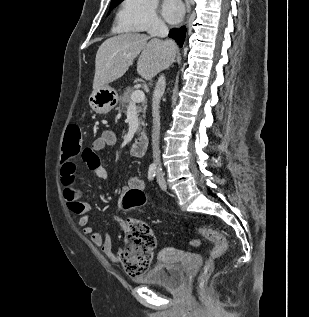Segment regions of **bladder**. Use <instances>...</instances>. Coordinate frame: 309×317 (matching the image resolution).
Segmentation results:
<instances>
[{
    "label": "bladder",
    "mask_w": 309,
    "mask_h": 317,
    "mask_svg": "<svg viewBox=\"0 0 309 317\" xmlns=\"http://www.w3.org/2000/svg\"><path fill=\"white\" fill-rule=\"evenodd\" d=\"M135 281L140 284H152L168 289H177L182 286L184 281L183 267L180 262H159L145 273L138 275Z\"/></svg>",
    "instance_id": "obj_1"
}]
</instances>
